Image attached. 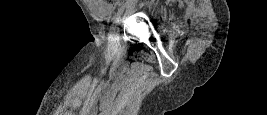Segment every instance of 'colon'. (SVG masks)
Returning <instances> with one entry per match:
<instances>
[{"instance_id":"5ec220e1","label":"colon","mask_w":267,"mask_h":115,"mask_svg":"<svg viewBox=\"0 0 267 115\" xmlns=\"http://www.w3.org/2000/svg\"><path fill=\"white\" fill-rule=\"evenodd\" d=\"M99 1L109 7L117 6L122 2V0H99Z\"/></svg>"}]
</instances>
